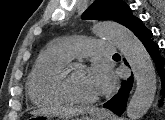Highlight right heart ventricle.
I'll use <instances>...</instances> for the list:
<instances>
[{"label":"right heart ventricle","mask_w":165,"mask_h":120,"mask_svg":"<svg viewBox=\"0 0 165 120\" xmlns=\"http://www.w3.org/2000/svg\"><path fill=\"white\" fill-rule=\"evenodd\" d=\"M70 61L55 47H49L37 59L28 78L30 99L37 105H58L67 100L58 89L62 68Z\"/></svg>","instance_id":"e07e8e85"}]
</instances>
